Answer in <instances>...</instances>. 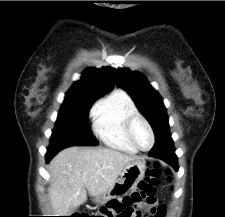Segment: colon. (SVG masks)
Returning <instances> with one entry per match:
<instances>
[{"instance_id": "obj_1", "label": "colon", "mask_w": 225, "mask_h": 217, "mask_svg": "<svg viewBox=\"0 0 225 217\" xmlns=\"http://www.w3.org/2000/svg\"><path fill=\"white\" fill-rule=\"evenodd\" d=\"M162 172L157 165L150 166L145 173L144 179L139 183L138 187L120 195L118 198L111 200L100 212L95 216L89 217H118L123 208H128L143 200H150L159 185ZM165 210L163 207L156 208L152 211L153 217H163ZM146 214V213H145ZM85 217V216H73ZM136 217H144L141 213H137Z\"/></svg>"}]
</instances>
